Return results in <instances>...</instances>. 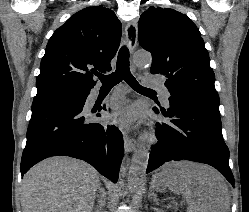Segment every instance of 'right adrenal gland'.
Wrapping results in <instances>:
<instances>
[{
  "label": "right adrenal gland",
  "mask_w": 249,
  "mask_h": 212,
  "mask_svg": "<svg viewBox=\"0 0 249 212\" xmlns=\"http://www.w3.org/2000/svg\"><path fill=\"white\" fill-rule=\"evenodd\" d=\"M98 192H99V196H97V198H100L99 202H98V206L97 208H95L96 212H99L100 208H103V206H105V190L104 188H101L100 184L98 186Z\"/></svg>",
  "instance_id": "right-adrenal-gland-1"
}]
</instances>
